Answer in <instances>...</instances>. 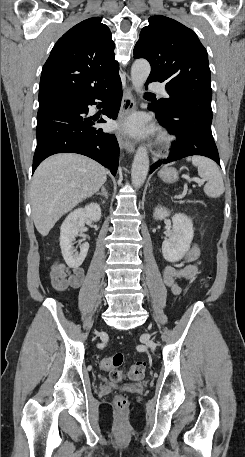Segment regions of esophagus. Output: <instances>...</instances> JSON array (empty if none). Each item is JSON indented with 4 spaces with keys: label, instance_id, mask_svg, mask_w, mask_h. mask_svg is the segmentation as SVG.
<instances>
[{
    "label": "esophagus",
    "instance_id": "1",
    "mask_svg": "<svg viewBox=\"0 0 245 457\" xmlns=\"http://www.w3.org/2000/svg\"><path fill=\"white\" fill-rule=\"evenodd\" d=\"M136 101L134 97V92L132 87H127L124 90L121 108L118 115V122H123L127 118V116L135 109ZM116 137L121 145V147L126 150L128 153H134L135 145L133 140L127 135V133L122 129L119 128L116 132Z\"/></svg>",
    "mask_w": 245,
    "mask_h": 457
}]
</instances>
